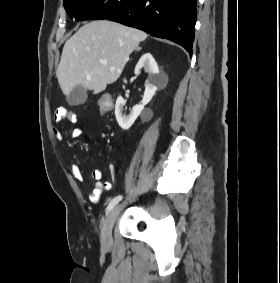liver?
Here are the masks:
<instances>
[{
    "label": "liver",
    "instance_id": "obj_1",
    "mask_svg": "<svg viewBox=\"0 0 280 283\" xmlns=\"http://www.w3.org/2000/svg\"><path fill=\"white\" fill-rule=\"evenodd\" d=\"M146 38L141 30L106 20L82 26L63 47L56 73L62 92L68 96L78 85L94 94L104 91L120 77L130 54Z\"/></svg>",
    "mask_w": 280,
    "mask_h": 283
}]
</instances>
